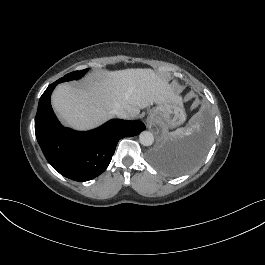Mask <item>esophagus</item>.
I'll return each instance as SVG.
<instances>
[{
    "label": "esophagus",
    "instance_id": "1",
    "mask_svg": "<svg viewBox=\"0 0 265 265\" xmlns=\"http://www.w3.org/2000/svg\"><path fill=\"white\" fill-rule=\"evenodd\" d=\"M155 126H156L155 122L150 117H148L147 118V127L149 128V130H153L155 128Z\"/></svg>",
    "mask_w": 265,
    "mask_h": 265
}]
</instances>
